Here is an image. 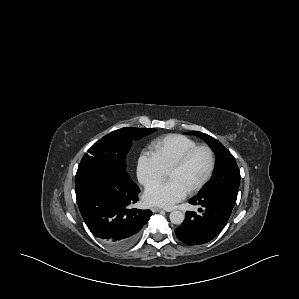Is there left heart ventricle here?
<instances>
[{
	"label": "left heart ventricle",
	"mask_w": 299,
	"mask_h": 299,
	"mask_svg": "<svg viewBox=\"0 0 299 299\" xmlns=\"http://www.w3.org/2000/svg\"><path fill=\"white\" fill-rule=\"evenodd\" d=\"M209 165L210 158L208 152L199 150L183 168L169 173L168 177L170 180L179 182L188 191L204 178Z\"/></svg>",
	"instance_id": "1"
}]
</instances>
